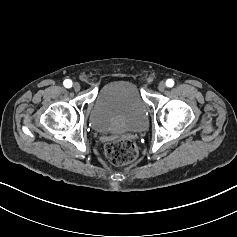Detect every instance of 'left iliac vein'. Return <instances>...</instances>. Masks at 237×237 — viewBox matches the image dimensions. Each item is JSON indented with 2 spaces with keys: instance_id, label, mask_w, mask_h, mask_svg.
I'll return each instance as SVG.
<instances>
[{
  "instance_id": "left-iliac-vein-1",
  "label": "left iliac vein",
  "mask_w": 237,
  "mask_h": 237,
  "mask_svg": "<svg viewBox=\"0 0 237 237\" xmlns=\"http://www.w3.org/2000/svg\"><path fill=\"white\" fill-rule=\"evenodd\" d=\"M165 88H166L165 83H164V82H160L159 85H158V89H159L160 91H164Z\"/></svg>"
}]
</instances>
